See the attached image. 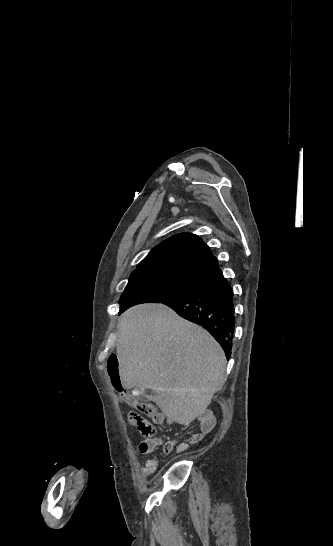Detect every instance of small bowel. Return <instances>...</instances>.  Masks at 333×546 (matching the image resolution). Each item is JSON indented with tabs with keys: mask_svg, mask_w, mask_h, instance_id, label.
Segmentation results:
<instances>
[{
	"mask_svg": "<svg viewBox=\"0 0 333 546\" xmlns=\"http://www.w3.org/2000/svg\"><path fill=\"white\" fill-rule=\"evenodd\" d=\"M153 420L157 423H161L164 421V416L158 412H156L153 416H151ZM201 422H202V429L200 431L193 432L188 441H180L178 439L169 440L163 443L162 438H154V439H146L142 441L139 446L138 450L141 454L147 455L156 450L158 446L163 444V455H168L172 452V450L175 448L177 452H183L185 451L189 443H198L201 441V439L204 436V433L208 430L212 429L214 426V419L211 416H201ZM159 459L157 456H154L152 458H149L145 461L144 466L141 469V472L144 476H150L152 475L157 468Z\"/></svg>",
	"mask_w": 333,
	"mask_h": 546,
	"instance_id": "c3829d8e",
	"label": "small bowel"
}]
</instances>
